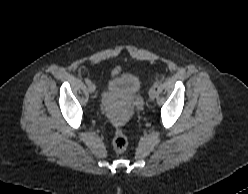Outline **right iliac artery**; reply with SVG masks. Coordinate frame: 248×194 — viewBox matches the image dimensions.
Returning <instances> with one entry per match:
<instances>
[{"mask_svg": "<svg viewBox=\"0 0 248 194\" xmlns=\"http://www.w3.org/2000/svg\"><path fill=\"white\" fill-rule=\"evenodd\" d=\"M85 83L89 84V83H91V81L89 79H85Z\"/></svg>", "mask_w": 248, "mask_h": 194, "instance_id": "obj_1", "label": "right iliac artery"}]
</instances>
